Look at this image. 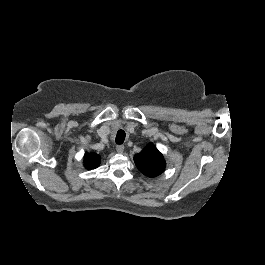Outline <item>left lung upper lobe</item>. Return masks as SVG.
Listing matches in <instances>:
<instances>
[{"label": "left lung upper lobe", "instance_id": "left-lung-upper-lobe-1", "mask_svg": "<svg viewBox=\"0 0 265 265\" xmlns=\"http://www.w3.org/2000/svg\"><path fill=\"white\" fill-rule=\"evenodd\" d=\"M134 161L137 168L149 177L160 175L166 166L162 154L151 143L134 156Z\"/></svg>", "mask_w": 265, "mask_h": 265}]
</instances>
